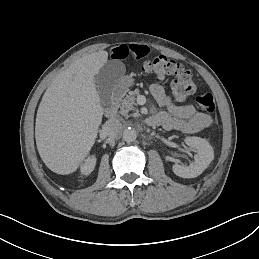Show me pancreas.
Returning a JSON list of instances; mask_svg holds the SVG:
<instances>
[{
	"label": "pancreas",
	"instance_id": "pancreas-1",
	"mask_svg": "<svg viewBox=\"0 0 259 259\" xmlns=\"http://www.w3.org/2000/svg\"><path fill=\"white\" fill-rule=\"evenodd\" d=\"M138 94L139 93L137 91H134L131 95H128L124 98L120 106V113L122 115L134 117L139 116V112L134 108V105L136 104V95ZM130 111H133V114L129 115L128 113Z\"/></svg>",
	"mask_w": 259,
	"mask_h": 259
}]
</instances>
